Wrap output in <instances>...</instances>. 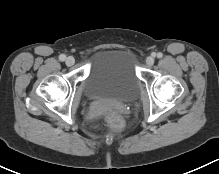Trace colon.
I'll return each mask as SVG.
<instances>
[{
	"mask_svg": "<svg viewBox=\"0 0 219 174\" xmlns=\"http://www.w3.org/2000/svg\"><path fill=\"white\" fill-rule=\"evenodd\" d=\"M106 120L108 122V125L112 129H119L122 126V119L120 115L114 110H110L107 112Z\"/></svg>",
	"mask_w": 219,
	"mask_h": 174,
	"instance_id": "1",
	"label": "colon"
}]
</instances>
